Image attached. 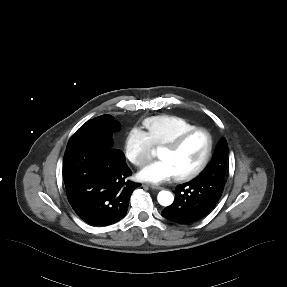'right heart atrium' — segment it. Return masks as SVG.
I'll return each mask as SVG.
<instances>
[{
    "instance_id": "d8ad5b80",
    "label": "right heart atrium",
    "mask_w": 287,
    "mask_h": 287,
    "mask_svg": "<svg viewBox=\"0 0 287 287\" xmlns=\"http://www.w3.org/2000/svg\"><path fill=\"white\" fill-rule=\"evenodd\" d=\"M153 145L146 133L138 128H132L124 140L126 159L136 167H142L152 158Z\"/></svg>"
}]
</instances>
